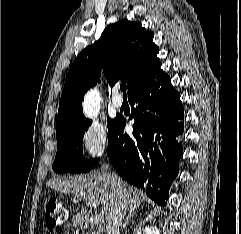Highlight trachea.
Segmentation results:
<instances>
[{
    "label": "trachea",
    "mask_w": 241,
    "mask_h": 234,
    "mask_svg": "<svg viewBox=\"0 0 241 234\" xmlns=\"http://www.w3.org/2000/svg\"><path fill=\"white\" fill-rule=\"evenodd\" d=\"M120 89H121V91L124 93V96H125V95H126V89H127L126 84H121V85H120Z\"/></svg>",
    "instance_id": "trachea-1"
}]
</instances>
